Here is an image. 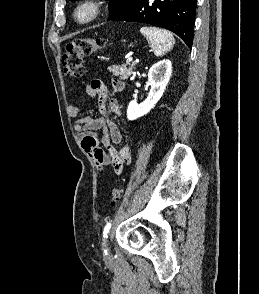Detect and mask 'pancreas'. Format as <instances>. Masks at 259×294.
<instances>
[{"mask_svg": "<svg viewBox=\"0 0 259 294\" xmlns=\"http://www.w3.org/2000/svg\"><path fill=\"white\" fill-rule=\"evenodd\" d=\"M128 66V67H127ZM108 70L113 73L115 76H120L121 80L128 79L135 70V64H123V65H113L111 67H108Z\"/></svg>", "mask_w": 259, "mask_h": 294, "instance_id": "obj_1", "label": "pancreas"}]
</instances>
